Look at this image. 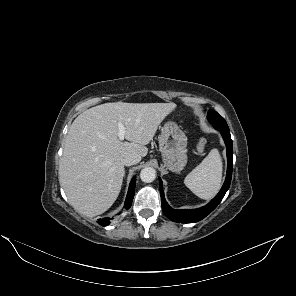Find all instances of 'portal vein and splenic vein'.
Listing matches in <instances>:
<instances>
[{
  "mask_svg": "<svg viewBox=\"0 0 296 296\" xmlns=\"http://www.w3.org/2000/svg\"><path fill=\"white\" fill-rule=\"evenodd\" d=\"M118 129H119L118 137L122 141V140H124V137H125V134H126V128L121 122H119L118 123Z\"/></svg>",
  "mask_w": 296,
  "mask_h": 296,
  "instance_id": "1",
  "label": "portal vein and splenic vein"
}]
</instances>
